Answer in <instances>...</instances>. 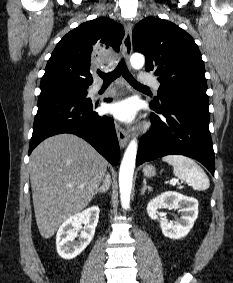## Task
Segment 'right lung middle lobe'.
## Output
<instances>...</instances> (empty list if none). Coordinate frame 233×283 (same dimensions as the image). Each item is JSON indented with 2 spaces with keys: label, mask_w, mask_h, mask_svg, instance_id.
Segmentation results:
<instances>
[{
  "label": "right lung middle lobe",
  "mask_w": 233,
  "mask_h": 283,
  "mask_svg": "<svg viewBox=\"0 0 233 283\" xmlns=\"http://www.w3.org/2000/svg\"><path fill=\"white\" fill-rule=\"evenodd\" d=\"M88 86H82L65 80H50L40 84L41 93L62 91L79 95H87Z\"/></svg>",
  "instance_id": "right-lung-middle-lobe-1"
}]
</instances>
